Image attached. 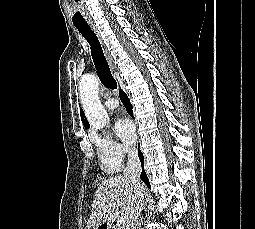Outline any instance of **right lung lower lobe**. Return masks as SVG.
Wrapping results in <instances>:
<instances>
[{
  "instance_id": "1",
  "label": "right lung lower lobe",
  "mask_w": 255,
  "mask_h": 229,
  "mask_svg": "<svg viewBox=\"0 0 255 229\" xmlns=\"http://www.w3.org/2000/svg\"><path fill=\"white\" fill-rule=\"evenodd\" d=\"M120 99H121L122 103L124 104V106H125L127 112L129 113V115L132 116V105H131L127 95L122 90H120ZM138 155H139L141 164L143 166L144 165V157H143V154L140 150L138 152ZM140 177L143 180V182L150 188V183H149V180L147 178V175H146L144 169L142 170V173H141Z\"/></svg>"
}]
</instances>
